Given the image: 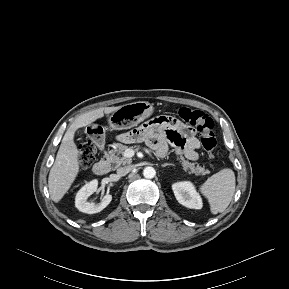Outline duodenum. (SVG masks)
<instances>
[{
    "label": "duodenum",
    "instance_id": "410a0bca",
    "mask_svg": "<svg viewBox=\"0 0 289 289\" xmlns=\"http://www.w3.org/2000/svg\"><path fill=\"white\" fill-rule=\"evenodd\" d=\"M110 170V162L107 158H103L93 166V171L97 175H103L109 172Z\"/></svg>",
    "mask_w": 289,
    "mask_h": 289
}]
</instances>
